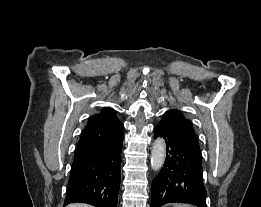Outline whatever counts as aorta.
Returning <instances> with one entry per match:
<instances>
[{
    "instance_id": "1",
    "label": "aorta",
    "mask_w": 261,
    "mask_h": 207,
    "mask_svg": "<svg viewBox=\"0 0 261 207\" xmlns=\"http://www.w3.org/2000/svg\"><path fill=\"white\" fill-rule=\"evenodd\" d=\"M166 147L162 138H157L151 150V167L154 171H159L165 161Z\"/></svg>"
}]
</instances>
